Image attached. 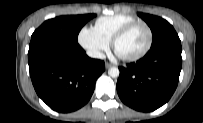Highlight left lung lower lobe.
<instances>
[{"label": "left lung lower lobe", "instance_id": "1", "mask_svg": "<svg viewBox=\"0 0 203 123\" xmlns=\"http://www.w3.org/2000/svg\"><path fill=\"white\" fill-rule=\"evenodd\" d=\"M181 41L170 39L137 62L119 67L117 93L127 106L142 112L154 111L173 95L182 67Z\"/></svg>", "mask_w": 203, "mask_h": 123}]
</instances>
